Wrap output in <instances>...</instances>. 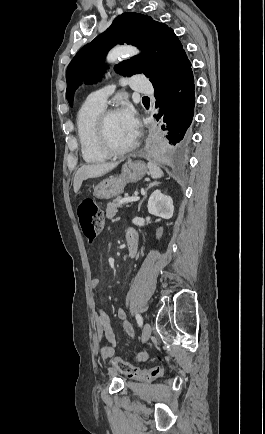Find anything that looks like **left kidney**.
Returning a JSON list of instances; mask_svg holds the SVG:
<instances>
[{
    "label": "left kidney",
    "mask_w": 265,
    "mask_h": 434,
    "mask_svg": "<svg viewBox=\"0 0 265 434\" xmlns=\"http://www.w3.org/2000/svg\"><path fill=\"white\" fill-rule=\"evenodd\" d=\"M147 208L149 214L159 216V218H165V220H170L174 212L172 198H170V196H164V194H161L160 190H155V192L151 194Z\"/></svg>",
    "instance_id": "1"
}]
</instances>
